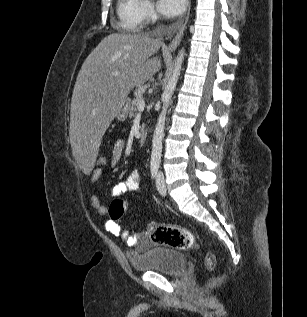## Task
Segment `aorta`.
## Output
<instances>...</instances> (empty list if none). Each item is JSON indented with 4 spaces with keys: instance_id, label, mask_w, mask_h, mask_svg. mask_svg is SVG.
Here are the masks:
<instances>
[{
    "instance_id": "obj_1",
    "label": "aorta",
    "mask_w": 307,
    "mask_h": 317,
    "mask_svg": "<svg viewBox=\"0 0 307 317\" xmlns=\"http://www.w3.org/2000/svg\"><path fill=\"white\" fill-rule=\"evenodd\" d=\"M184 55H185V51L184 49H181L175 60V66H174L172 75L162 94V101H163L162 111L159 115L157 124L155 126L153 138H152V151H151V161H150L152 167H158L161 163L162 141L164 137L167 109L169 107L170 101L172 99V95L178 83V79L182 69V64L184 61Z\"/></svg>"
}]
</instances>
